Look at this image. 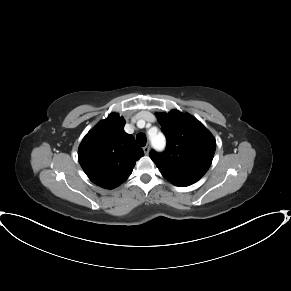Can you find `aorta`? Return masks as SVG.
Returning <instances> with one entry per match:
<instances>
[{"mask_svg": "<svg viewBox=\"0 0 291 291\" xmlns=\"http://www.w3.org/2000/svg\"><path fill=\"white\" fill-rule=\"evenodd\" d=\"M151 143L155 148H163L165 145V138L161 133L150 134Z\"/></svg>", "mask_w": 291, "mask_h": 291, "instance_id": "1", "label": "aorta"}]
</instances>
